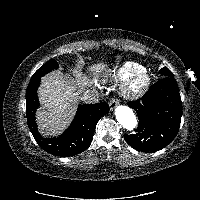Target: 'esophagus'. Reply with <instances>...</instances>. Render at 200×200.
Listing matches in <instances>:
<instances>
[{"label": "esophagus", "mask_w": 200, "mask_h": 200, "mask_svg": "<svg viewBox=\"0 0 200 200\" xmlns=\"http://www.w3.org/2000/svg\"><path fill=\"white\" fill-rule=\"evenodd\" d=\"M118 103H119V102H118L117 99L112 98V99L110 100V103H109L110 110H114V109L117 107Z\"/></svg>", "instance_id": "obj_1"}]
</instances>
